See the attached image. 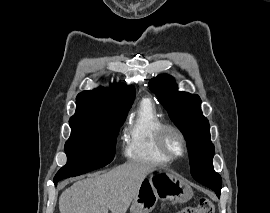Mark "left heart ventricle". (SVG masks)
Wrapping results in <instances>:
<instances>
[{
    "label": "left heart ventricle",
    "mask_w": 270,
    "mask_h": 213,
    "mask_svg": "<svg viewBox=\"0 0 270 213\" xmlns=\"http://www.w3.org/2000/svg\"><path fill=\"white\" fill-rule=\"evenodd\" d=\"M167 144L172 152L179 153L181 151L182 145L177 135L173 133L169 134L167 138Z\"/></svg>",
    "instance_id": "obj_1"
}]
</instances>
